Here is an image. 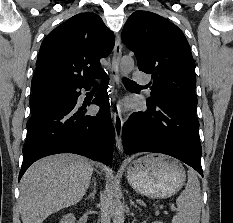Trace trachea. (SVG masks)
<instances>
[{
    "mask_svg": "<svg viewBox=\"0 0 233 223\" xmlns=\"http://www.w3.org/2000/svg\"><path fill=\"white\" fill-rule=\"evenodd\" d=\"M123 83L128 85H137L136 82H133V80H129L128 78H123Z\"/></svg>",
    "mask_w": 233,
    "mask_h": 223,
    "instance_id": "trachea-1",
    "label": "trachea"
}]
</instances>
